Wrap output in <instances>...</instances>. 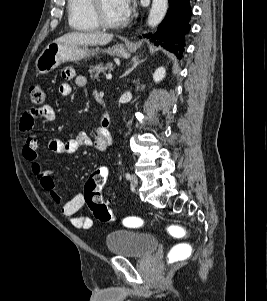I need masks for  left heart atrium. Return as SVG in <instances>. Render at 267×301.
Here are the masks:
<instances>
[{"mask_svg": "<svg viewBox=\"0 0 267 301\" xmlns=\"http://www.w3.org/2000/svg\"><path fill=\"white\" fill-rule=\"evenodd\" d=\"M120 10L127 16L131 11V0H117Z\"/></svg>", "mask_w": 267, "mask_h": 301, "instance_id": "obj_1", "label": "left heart atrium"}]
</instances>
